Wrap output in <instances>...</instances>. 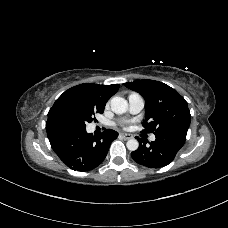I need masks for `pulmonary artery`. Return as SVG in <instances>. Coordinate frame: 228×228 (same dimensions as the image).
I'll return each mask as SVG.
<instances>
[{
    "label": "pulmonary artery",
    "instance_id": "obj_1",
    "mask_svg": "<svg viewBox=\"0 0 228 228\" xmlns=\"http://www.w3.org/2000/svg\"><path fill=\"white\" fill-rule=\"evenodd\" d=\"M128 103H129V111L132 114L139 113L144 108V99L143 97L138 93H131L128 96ZM155 135H152L150 137L151 141L155 140Z\"/></svg>",
    "mask_w": 228,
    "mask_h": 228
}]
</instances>
